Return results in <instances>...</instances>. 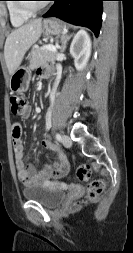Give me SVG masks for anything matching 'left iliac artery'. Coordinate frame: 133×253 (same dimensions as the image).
<instances>
[{
	"mask_svg": "<svg viewBox=\"0 0 133 253\" xmlns=\"http://www.w3.org/2000/svg\"><path fill=\"white\" fill-rule=\"evenodd\" d=\"M56 139H57L58 141H61L62 137H61V135H60L59 133L56 134Z\"/></svg>",
	"mask_w": 133,
	"mask_h": 253,
	"instance_id": "1",
	"label": "left iliac artery"
}]
</instances>
